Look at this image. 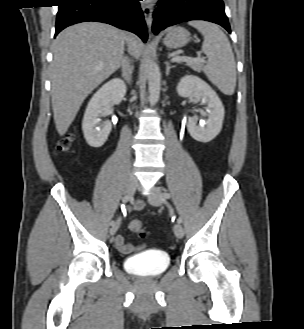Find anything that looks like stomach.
Here are the masks:
<instances>
[{
    "label": "stomach",
    "instance_id": "obj_1",
    "mask_svg": "<svg viewBox=\"0 0 304 329\" xmlns=\"http://www.w3.org/2000/svg\"><path fill=\"white\" fill-rule=\"evenodd\" d=\"M190 39V33L185 28L173 27L168 31L163 42L166 47L177 49L185 46Z\"/></svg>",
    "mask_w": 304,
    "mask_h": 329
}]
</instances>
